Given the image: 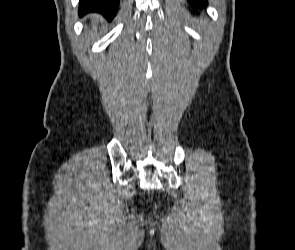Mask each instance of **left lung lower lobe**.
Returning a JSON list of instances; mask_svg holds the SVG:
<instances>
[{"instance_id":"0a47b994","label":"left lung lower lobe","mask_w":295,"mask_h":250,"mask_svg":"<svg viewBox=\"0 0 295 250\" xmlns=\"http://www.w3.org/2000/svg\"><path fill=\"white\" fill-rule=\"evenodd\" d=\"M189 2L197 7H205L207 5L206 0H189Z\"/></svg>"}]
</instances>
